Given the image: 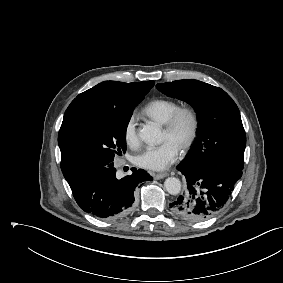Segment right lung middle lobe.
<instances>
[{"instance_id":"right-lung-middle-lobe-1","label":"right lung middle lobe","mask_w":283,"mask_h":283,"mask_svg":"<svg viewBox=\"0 0 283 283\" xmlns=\"http://www.w3.org/2000/svg\"><path fill=\"white\" fill-rule=\"evenodd\" d=\"M144 99L116 107H75L66 112L58 135L61 169L113 166L126 151V129L134 108Z\"/></svg>"}]
</instances>
